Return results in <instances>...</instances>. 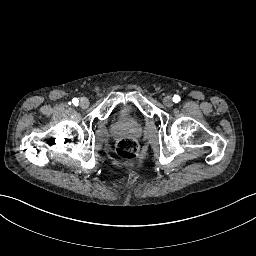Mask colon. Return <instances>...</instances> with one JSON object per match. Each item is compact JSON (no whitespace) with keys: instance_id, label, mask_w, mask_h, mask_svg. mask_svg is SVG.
Here are the masks:
<instances>
[{"instance_id":"colon-1","label":"colon","mask_w":256,"mask_h":256,"mask_svg":"<svg viewBox=\"0 0 256 256\" xmlns=\"http://www.w3.org/2000/svg\"><path fill=\"white\" fill-rule=\"evenodd\" d=\"M117 152L122 159L132 161L138 157L139 149L133 138L125 137L117 143Z\"/></svg>"}]
</instances>
